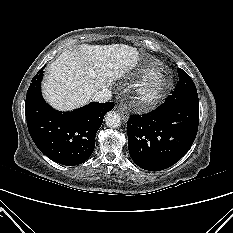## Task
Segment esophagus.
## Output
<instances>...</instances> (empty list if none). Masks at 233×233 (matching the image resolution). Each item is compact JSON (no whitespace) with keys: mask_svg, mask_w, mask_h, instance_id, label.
Segmentation results:
<instances>
[{"mask_svg":"<svg viewBox=\"0 0 233 233\" xmlns=\"http://www.w3.org/2000/svg\"><path fill=\"white\" fill-rule=\"evenodd\" d=\"M116 110L120 113V115L124 121L128 120V113L126 112V110L122 106H117Z\"/></svg>","mask_w":233,"mask_h":233,"instance_id":"esophagus-1","label":"esophagus"}]
</instances>
